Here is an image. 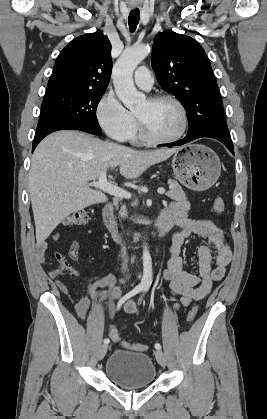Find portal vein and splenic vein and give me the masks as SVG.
Wrapping results in <instances>:
<instances>
[{"mask_svg":"<svg viewBox=\"0 0 267 419\" xmlns=\"http://www.w3.org/2000/svg\"><path fill=\"white\" fill-rule=\"evenodd\" d=\"M89 185L94 186L95 188H99L102 191H104V192H106L110 195H113L115 197H118V198H126V199L131 198V194L128 191H126L122 188H119L116 185H113V184H111L107 181L105 171L101 172L99 174V178H98L97 182L94 181V182L90 183ZM157 192L161 195L165 194V189L164 188H159L157 190Z\"/></svg>","mask_w":267,"mask_h":419,"instance_id":"18ae733b","label":"portal vein and splenic vein"}]
</instances>
